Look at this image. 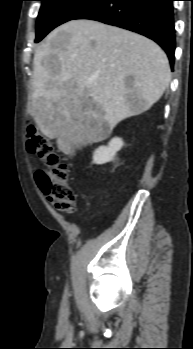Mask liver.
<instances>
[{
    "mask_svg": "<svg viewBox=\"0 0 193 349\" xmlns=\"http://www.w3.org/2000/svg\"><path fill=\"white\" fill-rule=\"evenodd\" d=\"M164 51L134 32L91 20L54 29L33 60L32 116L59 150L106 139L122 120L149 110L169 85Z\"/></svg>",
    "mask_w": 193,
    "mask_h": 349,
    "instance_id": "6515ba94",
    "label": "liver"
}]
</instances>
